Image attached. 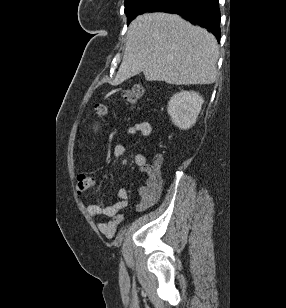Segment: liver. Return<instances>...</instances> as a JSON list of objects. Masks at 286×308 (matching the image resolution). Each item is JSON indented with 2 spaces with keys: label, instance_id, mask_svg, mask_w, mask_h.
<instances>
[{
  "label": "liver",
  "instance_id": "obj_1",
  "mask_svg": "<svg viewBox=\"0 0 286 308\" xmlns=\"http://www.w3.org/2000/svg\"><path fill=\"white\" fill-rule=\"evenodd\" d=\"M218 46L206 29L178 15L146 13L129 25L125 51L113 85L143 72L147 81L211 84L216 79Z\"/></svg>",
  "mask_w": 286,
  "mask_h": 308
}]
</instances>
